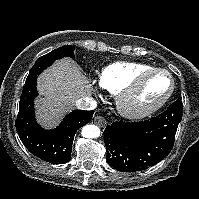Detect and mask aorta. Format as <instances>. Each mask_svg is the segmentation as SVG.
<instances>
[{
  "mask_svg": "<svg viewBox=\"0 0 199 199\" xmlns=\"http://www.w3.org/2000/svg\"><path fill=\"white\" fill-rule=\"evenodd\" d=\"M81 134L85 138H97L100 136V129L96 125H85Z\"/></svg>",
  "mask_w": 199,
  "mask_h": 199,
  "instance_id": "aorta-1",
  "label": "aorta"
}]
</instances>
